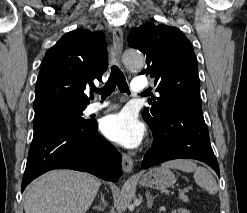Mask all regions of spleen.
Here are the masks:
<instances>
[{
  "instance_id": "1",
  "label": "spleen",
  "mask_w": 247,
  "mask_h": 213,
  "mask_svg": "<svg viewBox=\"0 0 247 213\" xmlns=\"http://www.w3.org/2000/svg\"><path fill=\"white\" fill-rule=\"evenodd\" d=\"M162 168L178 169L183 172H194L195 182L205 188L209 194H216L218 186L215 178L204 167L197 166V164L191 160L178 159L165 162L161 165Z\"/></svg>"
}]
</instances>
